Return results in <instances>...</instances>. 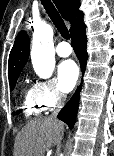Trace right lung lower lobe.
I'll use <instances>...</instances> for the list:
<instances>
[{"label": "right lung lower lobe", "mask_w": 114, "mask_h": 156, "mask_svg": "<svg viewBox=\"0 0 114 156\" xmlns=\"http://www.w3.org/2000/svg\"><path fill=\"white\" fill-rule=\"evenodd\" d=\"M86 26L82 23L77 28L71 32L72 45L75 53L80 61L81 69L84 71L86 68V63L88 59V54L86 52ZM80 88L72 96L70 101L62 108L58 114V118L64 121L71 129L74 126L76 115L79 107V93Z\"/></svg>", "instance_id": "98d812e1"}]
</instances>
